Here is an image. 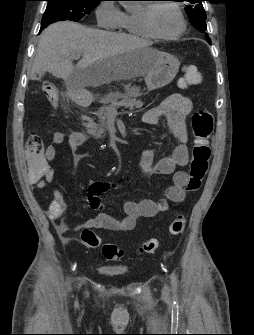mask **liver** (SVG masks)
Returning a JSON list of instances; mask_svg holds the SVG:
<instances>
[{"instance_id":"obj_1","label":"liver","mask_w":254,"mask_h":335,"mask_svg":"<svg viewBox=\"0 0 254 335\" xmlns=\"http://www.w3.org/2000/svg\"><path fill=\"white\" fill-rule=\"evenodd\" d=\"M150 43L138 37L61 21L47 27L38 43L31 78L49 72L76 86H99L144 76L154 65ZM82 55L73 65L76 55Z\"/></svg>"}]
</instances>
